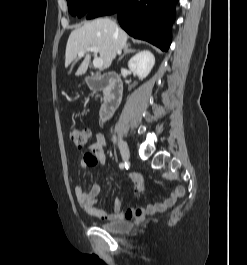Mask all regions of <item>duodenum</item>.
<instances>
[{
  "mask_svg": "<svg viewBox=\"0 0 247 265\" xmlns=\"http://www.w3.org/2000/svg\"><path fill=\"white\" fill-rule=\"evenodd\" d=\"M86 84L93 90H105V101L100 110L101 120L110 118L118 108L123 94V83L118 75L108 72L86 77Z\"/></svg>",
  "mask_w": 247,
  "mask_h": 265,
  "instance_id": "duodenum-1",
  "label": "duodenum"
}]
</instances>
